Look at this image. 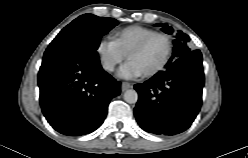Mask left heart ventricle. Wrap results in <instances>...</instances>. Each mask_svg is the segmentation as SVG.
<instances>
[{
  "mask_svg": "<svg viewBox=\"0 0 248 158\" xmlns=\"http://www.w3.org/2000/svg\"><path fill=\"white\" fill-rule=\"evenodd\" d=\"M166 53V43L161 37H155L139 52L130 56L143 73L151 71L163 60Z\"/></svg>",
  "mask_w": 248,
  "mask_h": 158,
  "instance_id": "1",
  "label": "left heart ventricle"
}]
</instances>
